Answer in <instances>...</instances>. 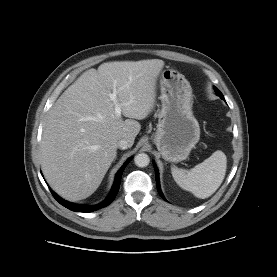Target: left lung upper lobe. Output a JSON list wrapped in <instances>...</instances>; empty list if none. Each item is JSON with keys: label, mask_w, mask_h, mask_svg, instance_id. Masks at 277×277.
Returning a JSON list of instances; mask_svg holds the SVG:
<instances>
[{"label": "left lung upper lobe", "mask_w": 277, "mask_h": 277, "mask_svg": "<svg viewBox=\"0 0 277 277\" xmlns=\"http://www.w3.org/2000/svg\"><path fill=\"white\" fill-rule=\"evenodd\" d=\"M214 90L221 99H224V97H223L222 93L220 92V90H218L217 88H214Z\"/></svg>", "instance_id": "1"}]
</instances>
